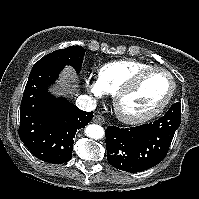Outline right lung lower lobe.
<instances>
[{
    "label": "right lung lower lobe",
    "mask_w": 199,
    "mask_h": 199,
    "mask_svg": "<svg viewBox=\"0 0 199 199\" xmlns=\"http://www.w3.org/2000/svg\"><path fill=\"white\" fill-rule=\"evenodd\" d=\"M63 68L51 65L32 69L20 110V139L38 159L54 164L71 159L76 131L93 118V112L82 111L48 91Z\"/></svg>",
    "instance_id": "1"
}]
</instances>
